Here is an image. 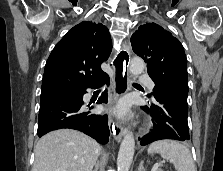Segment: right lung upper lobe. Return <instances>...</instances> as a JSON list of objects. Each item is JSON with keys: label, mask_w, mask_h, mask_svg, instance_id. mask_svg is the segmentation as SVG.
I'll use <instances>...</instances> for the list:
<instances>
[{"label": "right lung upper lobe", "mask_w": 223, "mask_h": 171, "mask_svg": "<svg viewBox=\"0 0 223 171\" xmlns=\"http://www.w3.org/2000/svg\"><path fill=\"white\" fill-rule=\"evenodd\" d=\"M112 49L108 28L83 21L56 44L44 70L41 99L85 89L106 73L101 63Z\"/></svg>", "instance_id": "right-lung-upper-lobe-1"}]
</instances>
